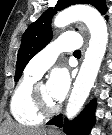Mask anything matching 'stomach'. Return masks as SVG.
I'll list each match as a JSON object with an SVG mask.
<instances>
[{
	"mask_svg": "<svg viewBox=\"0 0 112 135\" xmlns=\"http://www.w3.org/2000/svg\"><path fill=\"white\" fill-rule=\"evenodd\" d=\"M47 135H55L54 133H52V132H48V134Z\"/></svg>",
	"mask_w": 112,
	"mask_h": 135,
	"instance_id": "obj_1",
	"label": "stomach"
}]
</instances>
